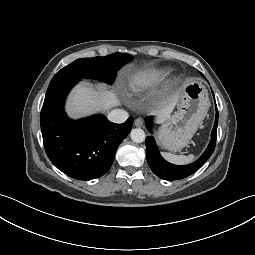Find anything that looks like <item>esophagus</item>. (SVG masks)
<instances>
[{"instance_id":"obj_1","label":"esophagus","mask_w":255,"mask_h":255,"mask_svg":"<svg viewBox=\"0 0 255 255\" xmlns=\"http://www.w3.org/2000/svg\"><path fill=\"white\" fill-rule=\"evenodd\" d=\"M134 124L136 127H142L143 126V121L142 119L138 118L134 121Z\"/></svg>"}]
</instances>
